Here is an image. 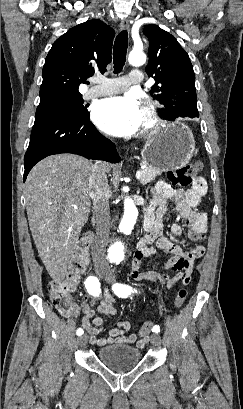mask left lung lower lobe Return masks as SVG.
<instances>
[{"mask_svg":"<svg viewBox=\"0 0 243 409\" xmlns=\"http://www.w3.org/2000/svg\"><path fill=\"white\" fill-rule=\"evenodd\" d=\"M172 117H173L172 120H174L177 117H191V118H194V117H199V113L198 114L179 113L177 115H173Z\"/></svg>","mask_w":243,"mask_h":409,"instance_id":"obj_1","label":"left lung lower lobe"}]
</instances>
